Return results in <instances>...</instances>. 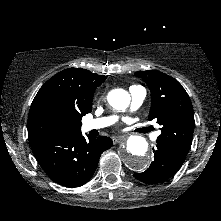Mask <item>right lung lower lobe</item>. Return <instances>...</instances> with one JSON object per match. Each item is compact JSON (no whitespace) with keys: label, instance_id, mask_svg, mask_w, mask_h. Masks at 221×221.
I'll return each mask as SVG.
<instances>
[{"label":"right lung lower lobe","instance_id":"right-lung-lower-lobe-1","mask_svg":"<svg viewBox=\"0 0 221 221\" xmlns=\"http://www.w3.org/2000/svg\"><path fill=\"white\" fill-rule=\"evenodd\" d=\"M113 145L109 137H90L67 133L30 143L31 149L47 175L66 187H79L96 171L103 151Z\"/></svg>","mask_w":221,"mask_h":221}]
</instances>
